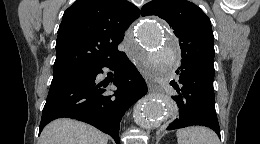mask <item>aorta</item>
<instances>
[{
  "label": "aorta",
  "instance_id": "obj_1",
  "mask_svg": "<svg viewBox=\"0 0 260 144\" xmlns=\"http://www.w3.org/2000/svg\"><path fill=\"white\" fill-rule=\"evenodd\" d=\"M138 46L130 49L134 58L149 70L167 73L172 70L177 56V41L166 33L155 18L140 21L136 28ZM174 105L164 95L147 96L134 108V121L141 128L160 126Z\"/></svg>",
  "mask_w": 260,
  "mask_h": 144
}]
</instances>
